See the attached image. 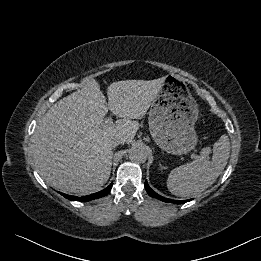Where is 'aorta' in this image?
Instances as JSON below:
<instances>
[{
	"mask_svg": "<svg viewBox=\"0 0 261 261\" xmlns=\"http://www.w3.org/2000/svg\"><path fill=\"white\" fill-rule=\"evenodd\" d=\"M129 158L132 162L141 164L144 163L147 159V154L145 149L142 146H134L129 151Z\"/></svg>",
	"mask_w": 261,
	"mask_h": 261,
	"instance_id": "aorta-1",
	"label": "aorta"
}]
</instances>
